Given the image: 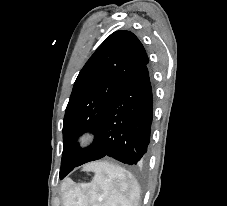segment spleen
Wrapping results in <instances>:
<instances>
[{"instance_id":"obj_1","label":"spleen","mask_w":227,"mask_h":206,"mask_svg":"<svg viewBox=\"0 0 227 206\" xmlns=\"http://www.w3.org/2000/svg\"><path fill=\"white\" fill-rule=\"evenodd\" d=\"M90 170L93 181L66 189L64 206H138L140 186L125 169L102 162Z\"/></svg>"}]
</instances>
